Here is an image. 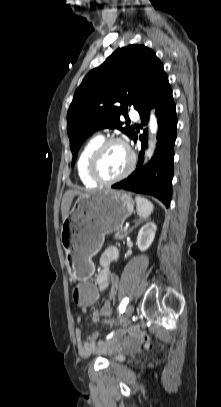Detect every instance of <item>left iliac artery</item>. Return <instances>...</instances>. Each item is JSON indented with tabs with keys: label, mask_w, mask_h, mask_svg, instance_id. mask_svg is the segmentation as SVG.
Wrapping results in <instances>:
<instances>
[{
	"label": "left iliac artery",
	"mask_w": 221,
	"mask_h": 407,
	"mask_svg": "<svg viewBox=\"0 0 221 407\" xmlns=\"http://www.w3.org/2000/svg\"><path fill=\"white\" fill-rule=\"evenodd\" d=\"M128 302H129V299H128L127 297L124 298V299L121 301V303H120V305H119V314H121V313H123V312L125 311ZM108 337H111V335H109Z\"/></svg>",
	"instance_id": "44dca946"
}]
</instances>
